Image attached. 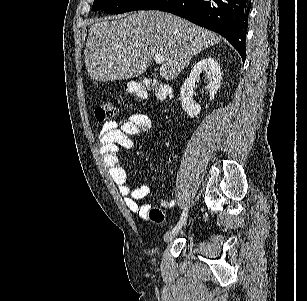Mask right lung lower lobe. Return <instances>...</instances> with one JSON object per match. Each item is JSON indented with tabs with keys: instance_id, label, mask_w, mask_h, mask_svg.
<instances>
[{
	"instance_id": "right-lung-lower-lobe-1",
	"label": "right lung lower lobe",
	"mask_w": 307,
	"mask_h": 301,
	"mask_svg": "<svg viewBox=\"0 0 307 301\" xmlns=\"http://www.w3.org/2000/svg\"><path fill=\"white\" fill-rule=\"evenodd\" d=\"M142 10H161L219 33L246 58L250 0H153Z\"/></svg>"
}]
</instances>
